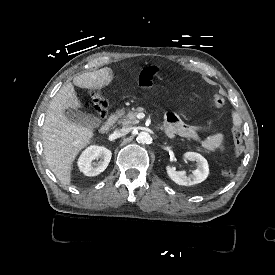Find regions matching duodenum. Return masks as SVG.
Returning <instances> with one entry per match:
<instances>
[{
  "label": "duodenum",
  "instance_id": "duodenum-1",
  "mask_svg": "<svg viewBox=\"0 0 275 275\" xmlns=\"http://www.w3.org/2000/svg\"><path fill=\"white\" fill-rule=\"evenodd\" d=\"M118 113L111 114L107 120L102 124L100 127V133L106 134L111 131V129L114 127L117 119H118ZM165 130V127L163 128Z\"/></svg>",
  "mask_w": 275,
  "mask_h": 275
}]
</instances>
